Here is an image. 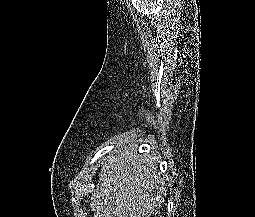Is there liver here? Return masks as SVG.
<instances>
[{
    "label": "liver",
    "mask_w": 255,
    "mask_h": 217,
    "mask_svg": "<svg viewBox=\"0 0 255 217\" xmlns=\"http://www.w3.org/2000/svg\"><path fill=\"white\" fill-rule=\"evenodd\" d=\"M165 194L156 159L124 150L103 164L90 207L94 217H150Z\"/></svg>",
    "instance_id": "obj_1"
}]
</instances>
